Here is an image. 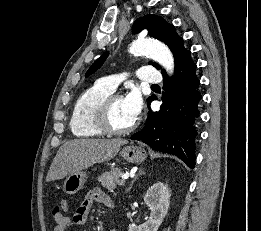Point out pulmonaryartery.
<instances>
[{
    "instance_id": "e3ab8cb5",
    "label": "pulmonary artery",
    "mask_w": 261,
    "mask_h": 231,
    "mask_svg": "<svg viewBox=\"0 0 261 231\" xmlns=\"http://www.w3.org/2000/svg\"><path fill=\"white\" fill-rule=\"evenodd\" d=\"M136 76L138 79L145 83H162V77L160 73L154 68L149 66L141 67ZM100 83L110 89L111 91H115L120 83V79L116 75L105 76L100 80Z\"/></svg>"
}]
</instances>
